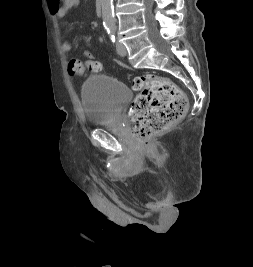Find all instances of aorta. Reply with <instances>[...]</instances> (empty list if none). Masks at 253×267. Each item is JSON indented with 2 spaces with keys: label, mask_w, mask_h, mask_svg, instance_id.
Returning <instances> with one entry per match:
<instances>
[{
  "label": "aorta",
  "mask_w": 253,
  "mask_h": 267,
  "mask_svg": "<svg viewBox=\"0 0 253 267\" xmlns=\"http://www.w3.org/2000/svg\"><path fill=\"white\" fill-rule=\"evenodd\" d=\"M102 20L105 28H115L113 0H101Z\"/></svg>",
  "instance_id": "obj_1"
}]
</instances>
